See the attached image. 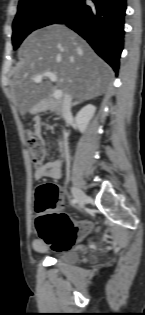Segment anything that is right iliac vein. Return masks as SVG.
<instances>
[{
  "instance_id": "right-iliac-vein-1",
  "label": "right iliac vein",
  "mask_w": 145,
  "mask_h": 315,
  "mask_svg": "<svg viewBox=\"0 0 145 315\" xmlns=\"http://www.w3.org/2000/svg\"><path fill=\"white\" fill-rule=\"evenodd\" d=\"M71 191H72L74 198L77 200L78 204L81 207H83L86 204V202L88 201V197L86 196V194L75 186L71 187Z\"/></svg>"
}]
</instances>
